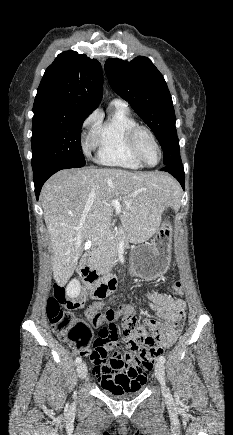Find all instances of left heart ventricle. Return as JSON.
Masks as SVG:
<instances>
[{"label":"left heart ventricle","mask_w":233,"mask_h":435,"mask_svg":"<svg viewBox=\"0 0 233 435\" xmlns=\"http://www.w3.org/2000/svg\"><path fill=\"white\" fill-rule=\"evenodd\" d=\"M139 144L145 161L150 165L156 164L159 159V154L150 138L145 134H141L139 137Z\"/></svg>","instance_id":"b2bd125f"}]
</instances>
